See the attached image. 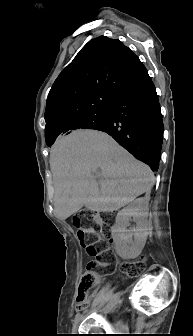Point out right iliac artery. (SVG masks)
<instances>
[{"mask_svg": "<svg viewBox=\"0 0 193 336\" xmlns=\"http://www.w3.org/2000/svg\"><path fill=\"white\" fill-rule=\"evenodd\" d=\"M79 316H80V314H77V315L75 316V320H74V321H76V319H78Z\"/></svg>", "mask_w": 193, "mask_h": 336, "instance_id": "right-iliac-artery-1", "label": "right iliac artery"}]
</instances>
